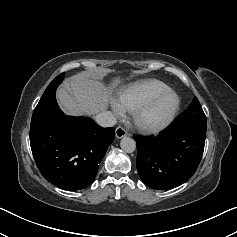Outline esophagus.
I'll return each instance as SVG.
<instances>
[{"label":"esophagus","mask_w":237,"mask_h":237,"mask_svg":"<svg viewBox=\"0 0 237 237\" xmlns=\"http://www.w3.org/2000/svg\"><path fill=\"white\" fill-rule=\"evenodd\" d=\"M115 135H116V138L120 139L127 135V130L122 126H119L115 130Z\"/></svg>","instance_id":"obj_1"}]
</instances>
